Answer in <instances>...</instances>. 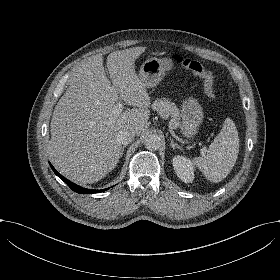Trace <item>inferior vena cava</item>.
I'll list each match as a JSON object with an SVG mask.
<instances>
[{
    "instance_id": "602c4592",
    "label": "inferior vena cava",
    "mask_w": 280,
    "mask_h": 280,
    "mask_svg": "<svg viewBox=\"0 0 280 280\" xmlns=\"http://www.w3.org/2000/svg\"><path fill=\"white\" fill-rule=\"evenodd\" d=\"M135 133L129 130H121L116 134V139L123 145H127L133 141Z\"/></svg>"
}]
</instances>
